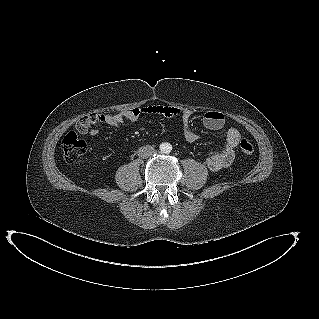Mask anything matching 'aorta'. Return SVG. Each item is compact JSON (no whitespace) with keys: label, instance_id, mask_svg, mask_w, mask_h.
<instances>
[{"label":"aorta","instance_id":"aorta-1","mask_svg":"<svg viewBox=\"0 0 319 319\" xmlns=\"http://www.w3.org/2000/svg\"><path fill=\"white\" fill-rule=\"evenodd\" d=\"M160 149L164 153H169L172 150V146L170 143L166 142V143L161 144Z\"/></svg>","mask_w":319,"mask_h":319}]
</instances>
